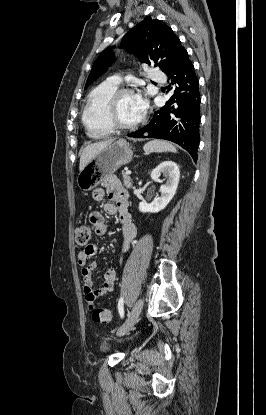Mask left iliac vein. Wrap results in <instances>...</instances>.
Here are the masks:
<instances>
[{
	"mask_svg": "<svg viewBox=\"0 0 266 415\" xmlns=\"http://www.w3.org/2000/svg\"><path fill=\"white\" fill-rule=\"evenodd\" d=\"M142 308H143V300L139 299L134 305L132 311L129 313L124 324L118 330L117 332L118 336H123L127 334L133 328V326L138 320V317L142 311Z\"/></svg>",
	"mask_w": 266,
	"mask_h": 415,
	"instance_id": "4c4485c4",
	"label": "left iliac vein"
}]
</instances>
